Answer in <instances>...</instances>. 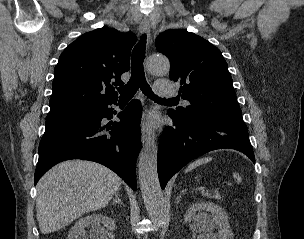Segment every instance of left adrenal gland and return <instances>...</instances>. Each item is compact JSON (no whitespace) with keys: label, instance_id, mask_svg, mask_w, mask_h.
<instances>
[{"label":"left adrenal gland","instance_id":"obj_1","mask_svg":"<svg viewBox=\"0 0 304 239\" xmlns=\"http://www.w3.org/2000/svg\"><path fill=\"white\" fill-rule=\"evenodd\" d=\"M181 198V196H179V197H177V201H176V203H178L179 202V199Z\"/></svg>","mask_w":304,"mask_h":239}]
</instances>
